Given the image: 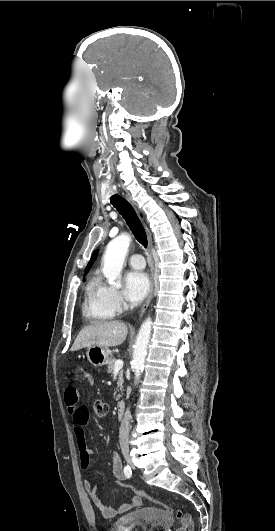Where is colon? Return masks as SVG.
Wrapping results in <instances>:
<instances>
[{
  "mask_svg": "<svg viewBox=\"0 0 275 531\" xmlns=\"http://www.w3.org/2000/svg\"><path fill=\"white\" fill-rule=\"evenodd\" d=\"M94 410L97 417L102 418L107 415V405L101 400H96L94 402ZM115 486H118V484H115ZM127 486L131 488V492L133 494H136L137 496H142L144 499H148L152 503L162 506L166 512L174 514L179 523V531H194L192 518L188 513H185L180 508L171 507L162 502L161 500L151 497L150 495L145 493V491L139 486L134 487L132 484H128Z\"/></svg>",
  "mask_w": 275,
  "mask_h": 531,
  "instance_id": "1",
  "label": "colon"
}]
</instances>
